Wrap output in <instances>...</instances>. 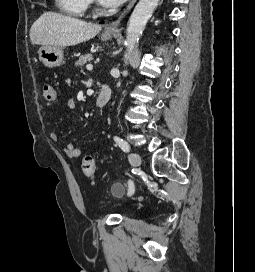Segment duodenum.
<instances>
[{"instance_id": "410a0bca", "label": "duodenum", "mask_w": 255, "mask_h": 272, "mask_svg": "<svg viewBox=\"0 0 255 272\" xmlns=\"http://www.w3.org/2000/svg\"><path fill=\"white\" fill-rule=\"evenodd\" d=\"M111 98H112V90L108 85L104 84L102 85L100 93L97 97L96 105L99 108H102L111 100Z\"/></svg>"}]
</instances>
